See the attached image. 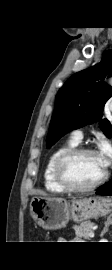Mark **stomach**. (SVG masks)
<instances>
[{
	"label": "stomach",
	"instance_id": "obj_1",
	"mask_svg": "<svg viewBox=\"0 0 112 270\" xmlns=\"http://www.w3.org/2000/svg\"><path fill=\"white\" fill-rule=\"evenodd\" d=\"M111 211L112 200L104 197H85L71 202L62 198L34 197L30 203L32 218L47 230L63 228L70 219L82 222L105 216Z\"/></svg>",
	"mask_w": 112,
	"mask_h": 270
}]
</instances>
